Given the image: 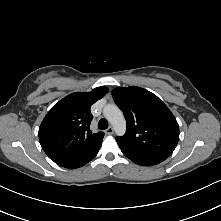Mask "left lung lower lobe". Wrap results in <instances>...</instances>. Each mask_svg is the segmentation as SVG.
I'll list each match as a JSON object with an SVG mask.
<instances>
[{"instance_id":"left-lung-lower-lobe-1","label":"left lung lower lobe","mask_w":221,"mask_h":221,"mask_svg":"<svg viewBox=\"0 0 221 221\" xmlns=\"http://www.w3.org/2000/svg\"><path fill=\"white\" fill-rule=\"evenodd\" d=\"M119 147L126 157H128L130 160H132L136 164L143 165V166H151V165L159 164L167 158L165 156L158 155V154H152V153L133 150L130 148L123 147L121 145H119Z\"/></svg>"}]
</instances>
